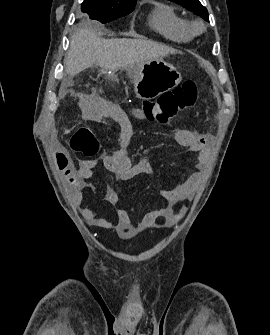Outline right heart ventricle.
Segmentation results:
<instances>
[{"mask_svg": "<svg viewBox=\"0 0 270 335\" xmlns=\"http://www.w3.org/2000/svg\"><path fill=\"white\" fill-rule=\"evenodd\" d=\"M149 25L155 32L174 42H187L194 36L188 21L164 3L155 5L149 15Z\"/></svg>", "mask_w": 270, "mask_h": 335, "instance_id": "obj_1", "label": "right heart ventricle"}]
</instances>
